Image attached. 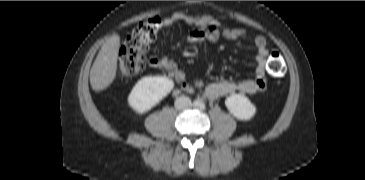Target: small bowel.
Returning a JSON list of instances; mask_svg holds the SVG:
<instances>
[{"instance_id": "obj_1", "label": "small bowel", "mask_w": 365, "mask_h": 180, "mask_svg": "<svg viewBox=\"0 0 365 180\" xmlns=\"http://www.w3.org/2000/svg\"><path fill=\"white\" fill-rule=\"evenodd\" d=\"M179 22L196 27V29L191 31L188 35V41L191 43L215 42L222 37L236 40L246 36L245 29L230 28L217 22L212 16H192L177 12L161 21L163 29ZM253 44L256 49V69L254 78L239 82L217 81L204 84L197 80L190 84L186 81L185 73L179 69L178 65L173 60L159 56V51L156 46L152 47L153 56L149 58L148 63L151 67L170 72L183 90L189 92L200 90L210 100H215L234 93L254 95L264 92L267 88L265 74L268 49L266 39L262 35L254 37Z\"/></svg>"}]
</instances>
